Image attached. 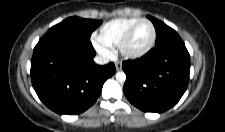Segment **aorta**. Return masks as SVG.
I'll return each mask as SVG.
<instances>
[{"instance_id":"1","label":"aorta","mask_w":225,"mask_h":132,"mask_svg":"<svg viewBox=\"0 0 225 132\" xmlns=\"http://www.w3.org/2000/svg\"><path fill=\"white\" fill-rule=\"evenodd\" d=\"M116 80L119 82H125L126 80V74L123 71L116 73Z\"/></svg>"}]
</instances>
